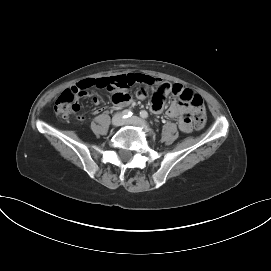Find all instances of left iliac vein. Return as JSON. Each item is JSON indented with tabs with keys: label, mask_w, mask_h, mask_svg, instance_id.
<instances>
[{
	"label": "left iliac vein",
	"mask_w": 271,
	"mask_h": 271,
	"mask_svg": "<svg viewBox=\"0 0 271 271\" xmlns=\"http://www.w3.org/2000/svg\"><path fill=\"white\" fill-rule=\"evenodd\" d=\"M123 123L126 125H137V126L144 127V128L148 127L147 123L143 119H141L137 116H132L128 119H125L123 121Z\"/></svg>",
	"instance_id": "4c4485c4"
}]
</instances>
